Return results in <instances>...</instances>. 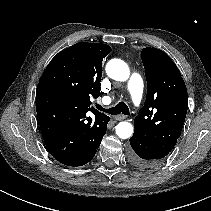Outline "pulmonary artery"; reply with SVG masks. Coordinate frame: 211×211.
<instances>
[{
	"label": "pulmonary artery",
	"instance_id": "obj_1",
	"mask_svg": "<svg viewBox=\"0 0 211 211\" xmlns=\"http://www.w3.org/2000/svg\"><path fill=\"white\" fill-rule=\"evenodd\" d=\"M128 90L131 94L132 100L136 106H139L142 101L144 84L141 77L138 74H132L128 79ZM104 103H109L110 98L105 97L102 99Z\"/></svg>",
	"mask_w": 211,
	"mask_h": 211
}]
</instances>
